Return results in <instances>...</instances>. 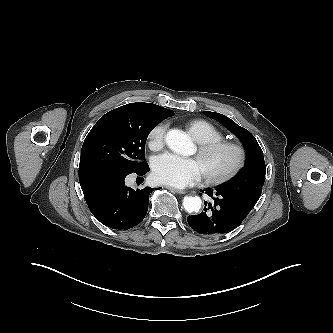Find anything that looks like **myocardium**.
<instances>
[{
  "instance_id": "1",
  "label": "myocardium",
  "mask_w": 333,
  "mask_h": 333,
  "mask_svg": "<svg viewBox=\"0 0 333 333\" xmlns=\"http://www.w3.org/2000/svg\"><path fill=\"white\" fill-rule=\"evenodd\" d=\"M229 150L234 153V160L232 164L224 172L219 174H212L204 172L203 176L205 180L213 185H219L226 183L233 179L244 167L247 159V152L243 144L231 140H220L215 142H209L200 144L197 152V158L204 160L213 154Z\"/></svg>"
}]
</instances>
